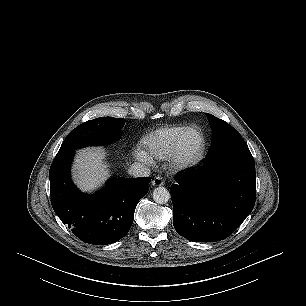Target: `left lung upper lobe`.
Masks as SVG:
<instances>
[{
    "instance_id": "1",
    "label": "left lung upper lobe",
    "mask_w": 306,
    "mask_h": 306,
    "mask_svg": "<svg viewBox=\"0 0 306 306\" xmlns=\"http://www.w3.org/2000/svg\"><path fill=\"white\" fill-rule=\"evenodd\" d=\"M206 115L212 129L213 138L209 156L224 151L248 148L235 128L211 114L206 113Z\"/></svg>"
}]
</instances>
